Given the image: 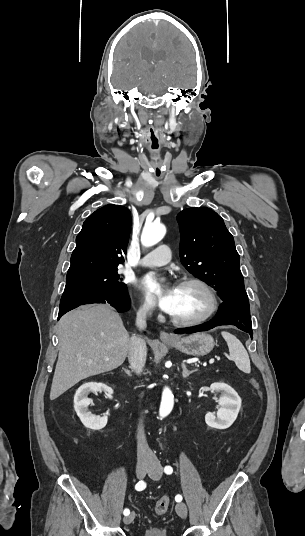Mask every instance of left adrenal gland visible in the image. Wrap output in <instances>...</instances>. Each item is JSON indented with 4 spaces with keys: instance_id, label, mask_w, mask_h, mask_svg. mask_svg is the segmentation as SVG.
I'll return each instance as SVG.
<instances>
[{
    "instance_id": "a2214340",
    "label": "left adrenal gland",
    "mask_w": 305,
    "mask_h": 536,
    "mask_svg": "<svg viewBox=\"0 0 305 536\" xmlns=\"http://www.w3.org/2000/svg\"><path fill=\"white\" fill-rule=\"evenodd\" d=\"M183 368V372H182V376L183 378H188V376H190V374H193V370H187L186 366H182Z\"/></svg>"
}]
</instances>
